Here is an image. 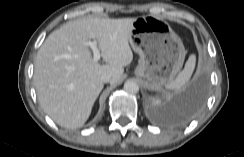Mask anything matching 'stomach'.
<instances>
[{
  "label": "stomach",
  "instance_id": "0dacf381",
  "mask_svg": "<svg viewBox=\"0 0 244 157\" xmlns=\"http://www.w3.org/2000/svg\"><path fill=\"white\" fill-rule=\"evenodd\" d=\"M129 43L139 54L135 75L153 88L171 82L183 66L186 56L183 42L161 18L153 15L136 18Z\"/></svg>",
  "mask_w": 244,
  "mask_h": 157
}]
</instances>
